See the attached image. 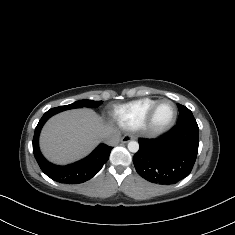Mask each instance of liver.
<instances>
[{"label": "liver", "instance_id": "liver-1", "mask_svg": "<svg viewBox=\"0 0 235 235\" xmlns=\"http://www.w3.org/2000/svg\"><path fill=\"white\" fill-rule=\"evenodd\" d=\"M110 129L90 109L67 111L47 122L41 134V149L49 160L65 164L90 152Z\"/></svg>", "mask_w": 235, "mask_h": 235}]
</instances>
